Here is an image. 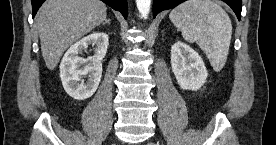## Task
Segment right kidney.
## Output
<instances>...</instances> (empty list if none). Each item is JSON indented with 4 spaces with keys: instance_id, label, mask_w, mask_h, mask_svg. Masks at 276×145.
<instances>
[{
    "instance_id": "ca27d5eb",
    "label": "right kidney",
    "mask_w": 276,
    "mask_h": 145,
    "mask_svg": "<svg viewBox=\"0 0 276 145\" xmlns=\"http://www.w3.org/2000/svg\"><path fill=\"white\" fill-rule=\"evenodd\" d=\"M89 45H95L94 55L87 59L79 56ZM109 45L108 35L93 32L73 44L60 63V78L66 93L76 100H85L97 90L102 76V60ZM88 76L86 84L82 78Z\"/></svg>"
}]
</instances>
